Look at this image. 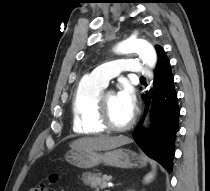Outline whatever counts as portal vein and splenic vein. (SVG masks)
I'll return each mask as SVG.
<instances>
[{
    "instance_id": "18ae733b",
    "label": "portal vein and splenic vein",
    "mask_w": 210,
    "mask_h": 191,
    "mask_svg": "<svg viewBox=\"0 0 210 191\" xmlns=\"http://www.w3.org/2000/svg\"><path fill=\"white\" fill-rule=\"evenodd\" d=\"M112 186V184H108V187H111ZM107 191H109V190H107Z\"/></svg>"
}]
</instances>
